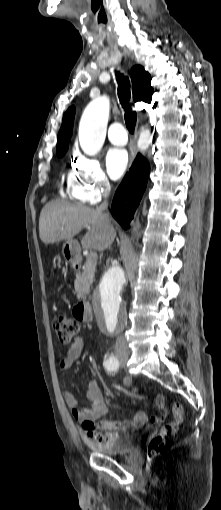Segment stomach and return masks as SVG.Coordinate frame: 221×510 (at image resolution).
I'll use <instances>...</instances> for the list:
<instances>
[{"label":"stomach","mask_w":221,"mask_h":510,"mask_svg":"<svg viewBox=\"0 0 221 510\" xmlns=\"http://www.w3.org/2000/svg\"><path fill=\"white\" fill-rule=\"evenodd\" d=\"M77 244L72 240H67L63 244V255L65 258L70 259L76 252Z\"/></svg>","instance_id":"stomach-1"}]
</instances>
